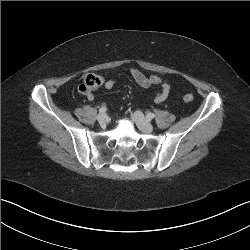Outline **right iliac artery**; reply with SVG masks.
Wrapping results in <instances>:
<instances>
[{
  "instance_id": "right-iliac-artery-1",
  "label": "right iliac artery",
  "mask_w": 250,
  "mask_h": 250,
  "mask_svg": "<svg viewBox=\"0 0 250 250\" xmlns=\"http://www.w3.org/2000/svg\"><path fill=\"white\" fill-rule=\"evenodd\" d=\"M106 110H107V108H106L105 106H103V107H101V108L99 109V112H100V113H104Z\"/></svg>"
}]
</instances>
